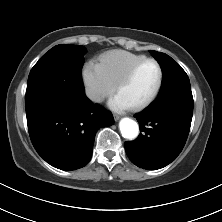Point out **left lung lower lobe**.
Instances as JSON below:
<instances>
[{"instance_id": "obj_1", "label": "left lung lower lobe", "mask_w": 222, "mask_h": 222, "mask_svg": "<svg viewBox=\"0 0 222 222\" xmlns=\"http://www.w3.org/2000/svg\"><path fill=\"white\" fill-rule=\"evenodd\" d=\"M193 114L192 92L165 93L145 110L135 115L140 134L125 142L132 163L144 169H160L171 163L182 151Z\"/></svg>"}]
</instances>
